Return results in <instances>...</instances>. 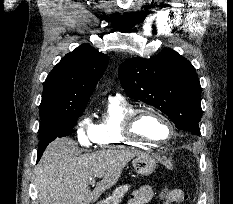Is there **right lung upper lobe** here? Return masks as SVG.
<instances>
[{
  "label": "right lung upper lobe",
  "mask_w": 233,
  "mask_h": 204,
  "mask_svg": "<svg viewBox=\"0 0 233 204\" xmlns=\"http://www.w3.org/2000/svg\"><path fill=\"white\" fill-rule=\"evenodd\" d=\"M107 64V56L89 44L66 54L44 82L40 118L85 109Z\"/></svg>",
  "instance_id": "cb5924a9"
}]
</instances>
